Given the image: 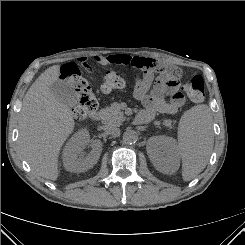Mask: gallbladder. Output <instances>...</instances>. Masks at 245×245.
Listing matches in <instances>:
<instances>
[{
    "instance_id": "gallbladder-1",
    "label": "gallbladder",
    "mask_w": 245,
    "mask_h": 245,
    "mask_svg": "<svg viewBox=\"0 0 245 245\" xmlns=\"http://www.w3.org/2000/svg\"><path fill=\"white\" fill-rule=\"evenodd\" d=\"M50 91L57 100L68 107H74L78 104L79 96L74 86L68 82L57 80L50 86Z\"/></svg>"
}]
</instances>
